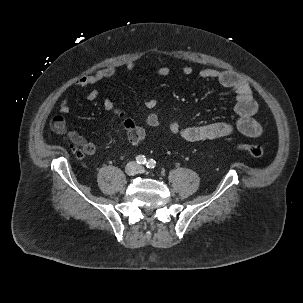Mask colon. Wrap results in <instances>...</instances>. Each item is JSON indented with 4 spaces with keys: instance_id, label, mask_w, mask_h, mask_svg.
<instances>
[{
    "instance_id": "1",
    "label": "colon",
    "mask_w": 303,
    "mask_h": 303,
    "mask_svg": "<svg viewBox=\"0 0 303 303\" xmlns=\"http://www.w3.org/2000/svg\"><path fill=\"white\" fill-rule=\"evenodd\" d=\"M237 147L247 153H249L253 157H262L265 154V150L262 146L258 144H250V143H239ZM75 156L79 159L83 157V151L80 149H75Z\"/></svg>"
}]
</instances>
